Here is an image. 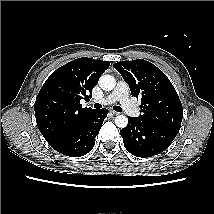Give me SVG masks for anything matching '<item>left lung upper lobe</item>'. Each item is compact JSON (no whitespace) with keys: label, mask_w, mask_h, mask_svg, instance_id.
Returning a JSON list of instances; mask_svg holds the SVG:
<instances>
[{"label":"left lung upper lobe","mask_w":214,"mask_h":214,"mask_svg":"<svg viewBox=\"0 0 214 214\" xmlns=\"http://www.w3.org/2000/svg\"><path fill=\"white\" fill-rule=\"evenodd\" d=\"M113 66L129 85L132 96L141 100V121L180 130L182 104L159 68L143 59L120 61Z\"/></svg>","instance_id":"5c2ea615"}]
</instances>
